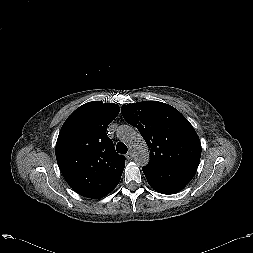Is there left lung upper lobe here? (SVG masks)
I'll return each mask as SVG.
<instances>
[{"label":"left lung upper lobe","mask_w":253,"mask_h":253,"mask_svg":"<svg viewBox=\"0 0 253 253\" xmlns=\"http://www.w3.org/2000/svg\"><path fill=\"white\" fill-rule=\"evenodd\" d=\"M121 113L146 141L150 149L148 163L198 168L200 139L190 122L174 107L144 101L122 106Z\"/></svg>","instance_id":"1"}]
</instances>
